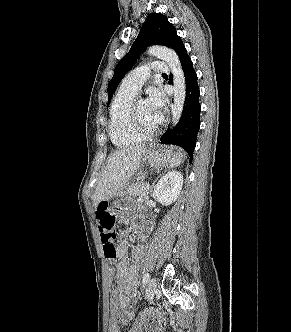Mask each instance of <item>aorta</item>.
<instances>
[{
  "label": "aorta",
  "mask_w": 291,
  "mask_h": 332,
  "mask_svg": "<svg viewBox=\"0 0 291 332\" xmlns=\"http://www.w3.org/2000/svg\"><path fill=\"white\" fill-rule=\"evenodd\" d=\"M147 53L165 61L171 69L174 85L172 125L175 126L181 118L186 97L185 76L179 57L174 50L162 46H151L147 49Z\"/></svg>",
  "instance_id": "762f6f07"
}]
</instances>
